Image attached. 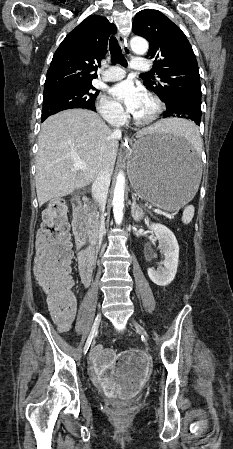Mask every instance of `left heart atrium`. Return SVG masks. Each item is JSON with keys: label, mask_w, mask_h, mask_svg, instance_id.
Instances as JSON below:
<instances>
[{"label": "left heart atrium", "mask_w": 233, "mask_h": 449, "mask_svg": "<svg viewBox=\"0 0 233 449\" xmlns=\"http://www.w3.org/2000/svg\"><path fill=\"white\" fill-rule=\"evenodd\" d=\"M110 93L134 116L139 112L147 98V94L131 81L116 84L110 89Z\"/></svg>", "instance_id": "39dd6f15"}]
</instances>
